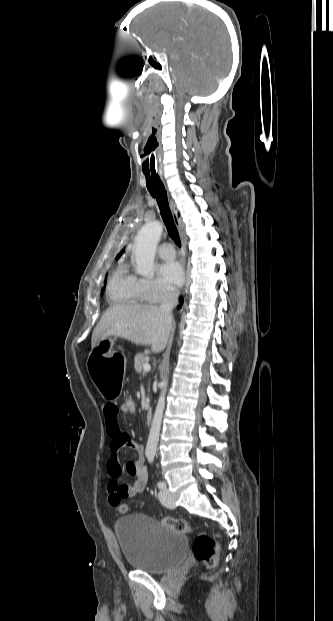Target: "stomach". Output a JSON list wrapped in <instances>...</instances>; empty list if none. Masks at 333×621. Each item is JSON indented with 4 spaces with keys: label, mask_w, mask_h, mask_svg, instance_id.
I'll return each mask as SVG.
<instances>
[{
    "label": "stomach",
    "mask_w": 333,
    "mask_h": 621,
    "mask_svg": "<svg viewBox=\"0 0 333 621\" xmlns=\"http://www.w3.org/2000/svg\"><path fill=\"white\" fill-rule=\"evenodd\" d=\"M124 349L122 342L103 338L87 356V365L97 392L103 398L114 397L117 402L125 388L123 378L127 356Z\"/></svg>",
    "instance_id": "stomach-1"
}]
</instances>
